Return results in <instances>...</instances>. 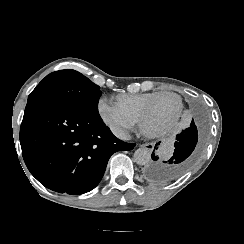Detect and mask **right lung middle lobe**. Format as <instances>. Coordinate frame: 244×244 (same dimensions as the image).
Returning a JSON list of instances; mask_svg holds the SVG:
<instances>
[{
  "instance_id": "dd1d6c3e",
  "label": "right lung middle lobe",
  "mask_w": 244,
  "mask_h": 244,
  "mask_svg": "<svg viewBox=\"0 0 244 244\" xmlns=\"http://www.w3.org/2000/svg\"><path fill=\"white\" fill-rule=\"evenodd\" d=\"M101 94L98 85L81 73L67 69L47 75L29 95L28 102L54 101L97 113Z\"/></svg>"
}]
</instances>
